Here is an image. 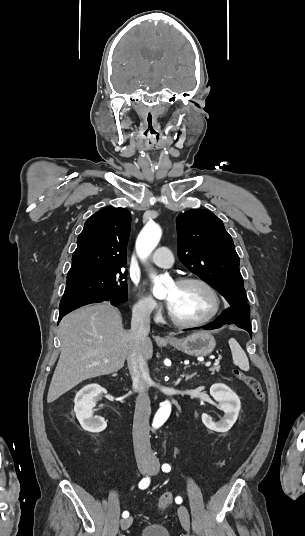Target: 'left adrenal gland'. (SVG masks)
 <instances>
[{"label": "left adrenal gland", "instance_id": "left-adrenal-gland-1", "mask_svg": "<svg viewBox=\"0 0 305 536\" xmlns=\"http://www.w3.org/2000/svg\"><path fill=\"white\" fill-rule=\"evenodd\" d=\"M194 374H191V376H186V382L187 380H190V378H193Z\"/></svg>", "mask_w": 305, "mask_h": 536}]
</instances>
